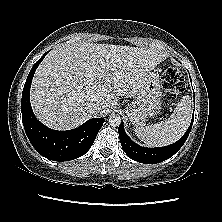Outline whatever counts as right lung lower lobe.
I'll return each mask as SVG.
<instances>
[{
    "mask_svg": "<svg viewBox=\"0 0 222 222\" xmlns=\"http://www.w3.org/2000/svg\"><path fill=\"white\" fill-rule=\"evenodd\" d=\"M47 52L33 65L22 92V122L27 137L36 151L47 159L68 161L84 155L92 146L104 118H92L78 128L52 130L39 122L31 108L30 87L34 73Z\"/></svg>",
    "mask_w": 222,
    "mask_h": 222,
    "instance_id": "right-lung-lower-lobe-1",
    "label": "right lung lower lobe"
}]
</instances>
